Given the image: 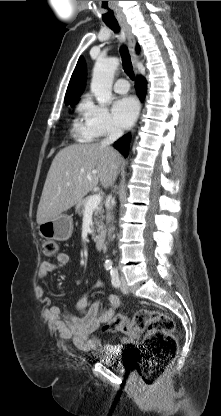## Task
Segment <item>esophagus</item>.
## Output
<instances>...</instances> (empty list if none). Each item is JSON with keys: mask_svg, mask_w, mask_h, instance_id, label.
I'll return each mask as SVG.
<instances>
[{"mask_svg": "<svg viewBox=\"0 0 221 416\" xmlns=\"http://www.w3.org/2000/svg\"><path fill=\"white\" fill-rule=\"evenodd\" d=\"M126 35H127V39H128V46H129V50H130V54H131V58H132V62L134 64V66H136V63L138 61V55L136 54V39L134 34L132 33L131 27L129 24H127L126 22L122 23Z\"/></svg>", "mask_w": 221, "mask_h": 416, "instance_id": "1", "label": "esophagus"}]
</instances>
